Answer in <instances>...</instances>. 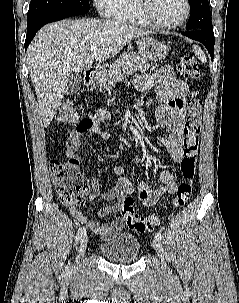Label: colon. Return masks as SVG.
I'll return each instance as SVG.
<instances>
[{
	"instance_id": "1",
	"label": "colon",
	"mask_w": 239,
	"mask_h": 303,
	"mask_svg": "<svg viewBox=\"0 0 239 303\" xmlns=\"http://www.w3.org/2000/svg\"><path fill=\"white\" fill-rule=\"evenodd\" d=\"M179 71L183 77L198 81L201 72L197 60L185 55L179 63ZM202 101L197 91H193L187 102V116L183 127L184 138L182 142L183 157L180 161V171L183 181L178 185L173 199L174 207L184 206L191 198L196 177V162L198 156L199 137L201 132ZM81 115L72 99H66L60 106L56 122L60 124H75ZM50 173L56 194L60 201L68 206L84 204L85 194L89 189L88 182L81 175L78 162L75 159L67 161H53ZM121 215L127 226L136 232L152 231L160 224L158 216L152 214L141 216L136 213L134 200L126 197L123 200Z\"/></svg>"
}]
</instances>
